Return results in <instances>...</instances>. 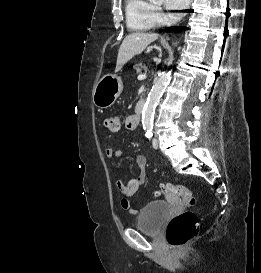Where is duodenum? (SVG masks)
Returning <instances> with one entry per match:
<instances>
[{
    "mask_svg": "<svg viewBox=\"0 0 261 273\" xmlns=\"http://www.w3.org/2000/svg\"><path fill=\"white\" fill-rule=\"evenodd\" d=\"M143 109H144V102L143 101H139L137 103V105H136V111H135V114H134L135 122H136L137 125L139 124V121H140Z\"/></svg>",
    "mask_w": 261,
    "mask_h": 273,
    "instance_id": "1",
    "label": "duodenum"
}]
</instances>
